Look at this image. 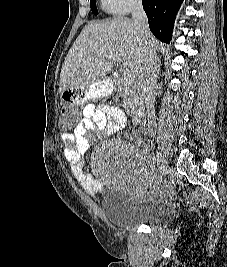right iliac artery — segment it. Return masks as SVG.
Returning <instances> with one entry per match:
<instances>
[{
  "mask_svg": "<svg viewBox=\"0 0 227 267\" xmlns=\"http://www.w3.org/2000/svg\"><path fill=\"white\" fill-rule=\"evenodd\" d=\"M155 164H156V158L155 157H153L152 158V161H151V168H154L155 167Z\"/></svg>",
  "mask_w": 227,
  "mask_h": 267,
  "instance_id": "82829eb1",
  "label": "right iliac artery"
}]
</instances>
